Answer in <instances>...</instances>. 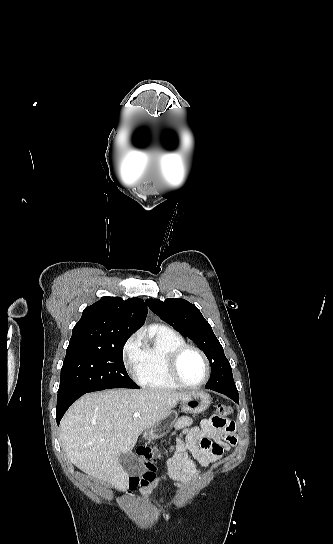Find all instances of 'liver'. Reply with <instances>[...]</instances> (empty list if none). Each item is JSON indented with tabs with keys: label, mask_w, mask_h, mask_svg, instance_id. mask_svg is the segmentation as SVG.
Listing matches in <instances>:
<instances>
[{
	"label": "liver",
	"mask_w": 333,
	"mask_h": 544,
	"mask_svg": "<svg viewBox=\"0 0 333 544\" xmlns=\"http://www.w3.org/2000/svg\"><path fill=\"white\" fill-rule=\"evenodd\" d=\"M188 393L165 389H113L86 394L66 412L60 440L67 458L88 475L117 490L129 474L118 460L139 435L164 419ZM140 413L135 418L134 413Z\"/></svg>",
	"instance_id": "1"
}]
</instances>
